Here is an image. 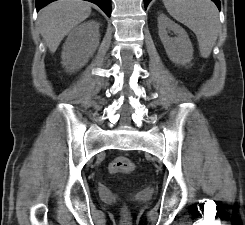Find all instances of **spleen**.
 <instances>
[{
	"label": "spleen",
	"instance_id": "1",
	"mask_svg": "<svg viewBox=\"0 0 245 225\" xmlns=\"http://www.w3.org/2000/svg\"><path fill=\"white\" fill-rule=\"evenodd\" d=\"M168 13L197 37L202 57L211 54L219 32L218 9L211 0H163Z\"/></svg>",
	"mask_w": 245,
	"mask_h": 225
}]
</instances>
